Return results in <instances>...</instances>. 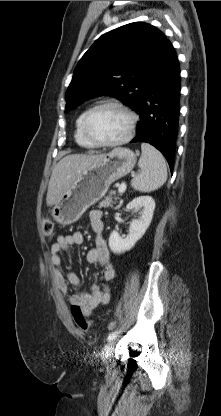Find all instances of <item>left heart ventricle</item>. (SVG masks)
Returning <instances> with one entry per match:
<instances>
[{"mask_svg": "<svg viewBox=\"0 0 221 416\" xmlns=\"http://www.w3.org/2000/svg\"><path fill=\"white\" fill-rule=\"evenodd\" d=\"M128 116L119 108L107 106L99 109L89 122L91 134L101 141H113L127 132Z\"/></svg>", "mask_w": 221, "mask_h": 416, "instance_id": "b2bd125f", "label": "left heart ventricle"}]
</instances>
